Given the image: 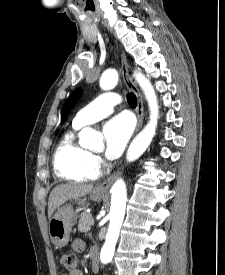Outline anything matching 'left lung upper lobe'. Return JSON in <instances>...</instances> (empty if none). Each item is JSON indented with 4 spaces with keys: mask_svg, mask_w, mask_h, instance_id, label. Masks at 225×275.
Masks as SVG:
<instances>
[{
    "mask_svg": "<svg viewBox=\"0 0 225 275\" xmlns=\"http://www.w3.org/2000/svg\"><path fill=\"white\" fill-rule=\"evenodd\" d=\"M81 95V89H76L66 100L63 109H62V116H61V123H64L66 120L68 114L70 113L73 106L78 101L79 97Z\"/></svg>",
    "mask_w": 225,
    "mask_h": 275,
    "instance_id": "5c2ea615",
    "label": "left lung upper lobe"
}]
</instances>
